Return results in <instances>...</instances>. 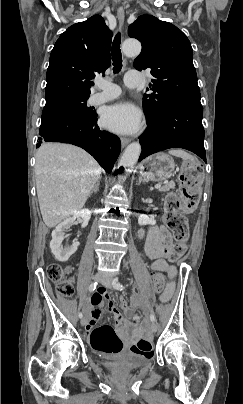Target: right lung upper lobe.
Instances as JSON below:
<instances>
[{"mask_svg": "<svg viewBox=\"0 0 243 404\" xmlns=\"http://www.w3.org/2000/svg\"><path fill=\"white\" fill-rule=\"evenodd\" d=\"M112 36L100 15L76 23L61 34L50 54L46 103L90 96V80L111 65Z\"/></svg>", "mask_w": 243, "mask_h": 404, "instance_id": "cb5924a9", "label": "right lung upper lobe"}]
</instances>
